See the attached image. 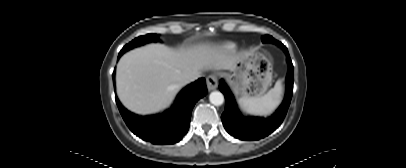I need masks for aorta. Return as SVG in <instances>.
Returning <instances> with one entry per match:
<instances>
[{
	"mask_svg": "<svg viewBox=\"0 0 406 168\" xmlns=\"http://www.w3.org/2000/svg\"><path fill=\"white\" fill-rule=\"evenodd\" d=\"M210 102L215 106H220L224 103V95L219 91H213L209 95Z\"/></svg>",
	"mask_w": 406,
	"mask_h": 168,
	"instance_id": "aorta-1",
	"label": "aorta"
}]
</instances>
